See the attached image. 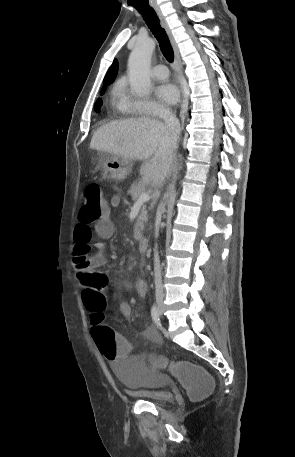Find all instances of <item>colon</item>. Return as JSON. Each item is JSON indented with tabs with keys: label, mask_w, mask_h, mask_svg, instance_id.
Returning <instances> with one entry per match:
<instances>
[{
	"label": "colon",
	"mask_w": 295,
	"mask_h": 457,
	"mask_svg": "<svg viewBox=\"0 0 295 457\" xmlns=\"http://www.w3.org/2000/svg\"><path fill=\"white\" fill-rule=\"evenodd\" d=\"M109 213L108 203L102 195L98 184L87 186L84 194V202L79 211V221L84 225H93ZM89 248L78 246L74 251L73 264L77 269L87 266ZM109 286L106 276L101 273H87V289L83 291V302L91 314L92 335L99 348L102 359L114 362L126 363L127 355L131 351V341H125L123 330H112L105 323L103 310L106 306V298L102 290ZM155 363V360H152ZM178 368H174V377H182L181 389L187 390L192 400H200L206 397L212 390V377L206 369H199L198 363H181L178 360ZM154 368L152 365L149 367Z\"/></svg>",
	"instance_id": "colon-1"
}]
</instances>
